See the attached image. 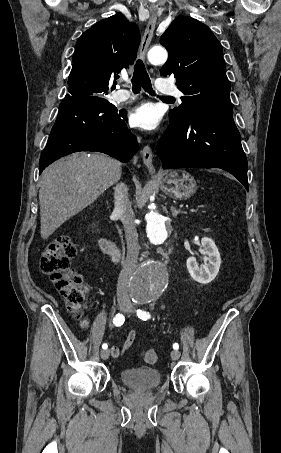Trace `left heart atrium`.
Listing matches in <instances>:
<instances>
[{"label": "left heart atrium", "mask_w": 281, "mask_h": 453, "mask_svg": "<svg viewBox=\"0 0 281 453\" xmlns=\"http://www.w3.org/2000/svg\"><path fill=\"white\" fill-rule=\"evenodd\" d=\"M130 124L142 130L156 129L161 122V114L152 103L141 104L131 110Z\"/></svg>", "instance_id": "1"}]
</instances>
